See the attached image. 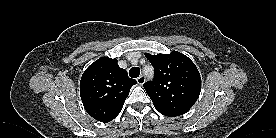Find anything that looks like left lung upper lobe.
Here are the masks:
<instances>
[{
    "label": "left lung upper lobe",
    "mask_w": 276,
    "mask_h": 138,
    "mask_svg": "<svg viewBox=\"0 0 276 138\" xmlns=\"http://www.w3.org/2000/svg\"><path fill=\"white\" fill-rule=\"evenodd\" d=\"M145 56L154 67L155 77L143 86L155 108L169 117L186 113L201 91V77L195 64L177 51Z\"/></svg>",
    "instance_id": "1"
}]
</instances>
